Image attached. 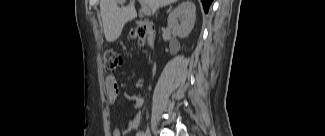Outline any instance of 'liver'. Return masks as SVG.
<instances>
[{"label":"liver","mask_w":325,"mask_h":136,"mask_svg":"<svg viewBox=\"0 0 325 136\" xmlns=\"http://www.w3.org/2000/svg\"><path fill=\"white\" fill-rule=\"evenodd\" d=\"M177 0H142V4L147 5L154 14L159 7L174 3ZM134 0H130L126 7L120 8V0H101L100 11L104 28L105 38L108 42H113L119 38L124 25L137 16Z\"/></svg>","instance_id":"obj_1"}]
</instances>
